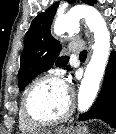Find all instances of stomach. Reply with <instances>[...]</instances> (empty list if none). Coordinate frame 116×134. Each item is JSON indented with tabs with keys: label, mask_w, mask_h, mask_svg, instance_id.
<instances>
[{
	"label": "stomach",
	"mask_w": 116,
	"mask_h": 134,
	"mask_svg": "<svg viewBox=\"0 0 116 134\" xmlns=\"http://www.w3.org/2000/svg\"><path fill=\"white\" fill-rule=\"evenodd\" d=\"M47 134H52L51 132H48ZM54 134H86V128H78L76 130L73 129H57Z\"/></svg>",
	"instance_id": "obj_1"
}]
</instances>
